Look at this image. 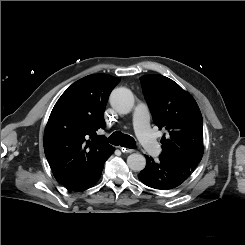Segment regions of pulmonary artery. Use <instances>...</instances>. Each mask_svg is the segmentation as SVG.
Wrapping results in <instances>:
<instances>
[{"instance_id":"1","label":"pulmonary artery","mask_w":245,"mask_h":245,"mask_svg":"<svg viewBox=\"0 0 245 245\" xmlns=\"http://www.w3.org/2000/svg\"><path fill=\"white\" fill-rule=\"evenodd\" d=\"M133 127L144 149L153 156L158 155L161 147L150 127L149 112L144 104H139L134 109Z\"/></svg>"}]
</instances>
